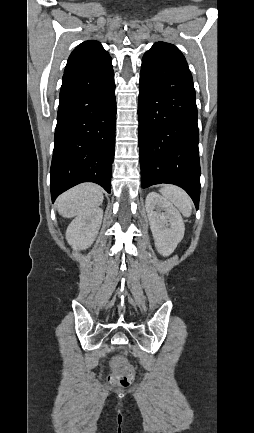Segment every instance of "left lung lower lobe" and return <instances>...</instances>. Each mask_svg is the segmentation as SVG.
<instances>
[{
  "label": "left lung lower lobe",
  "instance_id": "obj_1",
  "mask_svg": "<svg viewBox=\"0 0 254 433\" xmlns=\"http://www.w3.org/2000/svg\"><path fill=\"white\" fill-rule=\"evenodd\" d=\"M138 121L142 187L177 185L198 209L199 132L195 89L188 68L154 55L143 56Z\"/></svg>",
  "mask_w": 254,
  "mask_h": 433
}]
</instances>
